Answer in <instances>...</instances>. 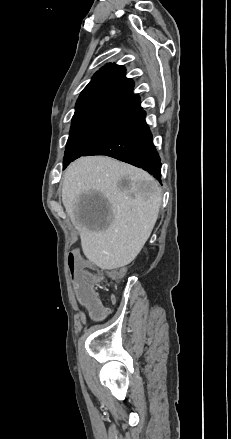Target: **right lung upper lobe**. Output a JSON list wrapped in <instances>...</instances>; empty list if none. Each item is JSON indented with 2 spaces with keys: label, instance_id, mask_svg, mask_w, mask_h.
Returning <instances> with one entry per match:
<instances>
[{
  "label": "right lung upper lobe",
  "instance_id": "cb5924a9",
  "mask_svg": "<svg viewBox=\"0 0 231 439\" xmlns=\"http://www.w3.org/2000/svg\"><path fill=\"white\" fill-rule=\"evenodd\" d=\"M133 87V81L125 77L123 66L105 65L81 92L74 117L98 115L126 120L142 109Z\"/></svg>",
  "mask_w": 231,
  "mask_h": 439
}]
</instances>
